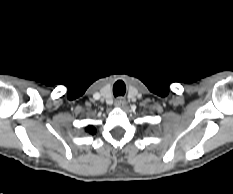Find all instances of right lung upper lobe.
Returning <instances> with one entry per match:
<instances>
[{
  "mask_svg": "<svg viewBox=\"0 0 233 194\" xmlns=\"http://www.w3.org/2000/svg\"><path fill=\"white\" fill-rule=\"evenodd\" d=\"M86 131L89 132L90 134H95L96 133V129L93 126H88L86 128Z\"/></svg>",
  "mask_w": 233,
  "mask_h": 194,
  "instance_id": "obj_1",
  "label": "right lung upper lobe"
}]
</instances>
